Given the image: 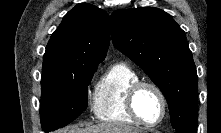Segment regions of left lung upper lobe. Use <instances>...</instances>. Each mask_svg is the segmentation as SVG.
Masks as SVG:
<instances>
[{"label":"left lung upper lobe","instance_id":"5c2ea615","mask_svg":"<svg viewBox=\"0 0 221 133\" xmlns=\"http://www.w3.org/2000/svg\"><path fill=\"white\" fill-rule=\"evenodd\" d=\"M112 40L161 89L175 131L197 127V73L185 32L155 7L117 10Z\"/></svg>","mask_w":221,"mask_h":133}]
</instances>
